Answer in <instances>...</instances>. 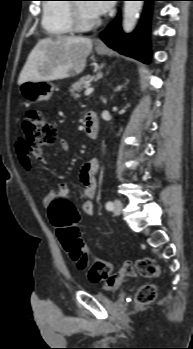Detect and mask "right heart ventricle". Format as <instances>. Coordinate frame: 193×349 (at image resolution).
Instances as JSON below:
<instances>
[{
    "mask_svg": "<svg viewBox=\"0 0 193 349\" xmlns=\"http://www.w3.org/2000/svg\"><path fill=\"white\" fill-rule=\"evenodd\" d=\"M43 5L42 27L50 37H65L73 33L70 20V6L68 3H52V1L68 0H47ZM51 1V2H50Z\"/></svg>",
    "mask_w": 193,
    "mask_h": 349,
    "instance_id": "right-heart-ventricle-1",
    "label": "right heart ventricle"
}]
</instances>
